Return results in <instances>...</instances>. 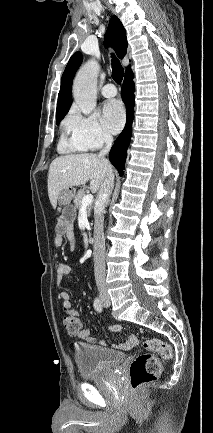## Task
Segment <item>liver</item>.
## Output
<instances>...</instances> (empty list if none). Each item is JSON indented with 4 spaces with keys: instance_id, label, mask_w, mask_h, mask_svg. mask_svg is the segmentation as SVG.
Returning <instances> with one entry per match:
<instances>
[{
    "instance_id": "6515ba94",
    "label": "liver",
    "mask_w": 213,
    "mask_h": 433,
    "mask_svg": "<svg viewBox=\"0 0 213 433\" xmlns=\"http://www.w3.org/2000/svg\"><path fill=\"white\" fill-rule=\"evenodd\" d=\"M113 169L108 160L94 153L70 154L52 161L48 172V196L53 208L61 191L80 186L90 180V190L97 192Z\"/></svg>"
}]
</instances>
